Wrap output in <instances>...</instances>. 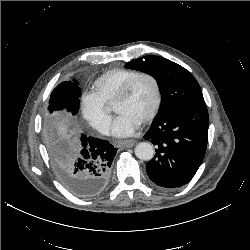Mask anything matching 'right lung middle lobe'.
Returning <instances> with one entry per match:
<instances>
[{
    "mask_svg": "<svg viewBox=\"0 0 250 250\" xmlns=\"http://www.w3.org/2000/svg\"><path fill=\"white\" fill-rule=\"evenodd\" d=\"M80 94L81 91L76 80L60 83L51 93L48 114H52L56 110L66 109L75 115L79 109ZM54 158L58 168L64 158L60 154H54Z\"/></svg>",
    "mask_w": 250,
    "mask_h": 250,
    "instance_id": "obj_1",
    "label": "right lung middle lobe"
}]
</instances>
